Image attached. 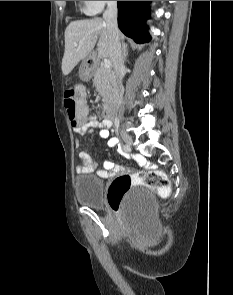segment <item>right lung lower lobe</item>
<instances>
[{
    "mask_svg": "<svg viewBox=\"0 0 233 295\" xmlns=\"http://www.w3.org/2000/svg\"><path fill=\"white\" fill-rule=\"evenodd\" d=\"M150 1H117L118 26L120 30L137 43L150 40L145 20L149 16Z\"/></svg>",
    "mask_w": 233,
    "mask_h": 295,
    "instance_id": "98d812e1",
    "label": "right lung lower lobe"
}]
</instances>
